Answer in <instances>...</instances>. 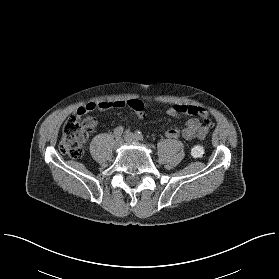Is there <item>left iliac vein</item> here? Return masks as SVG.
<instances>
[{"label": "left iliac vein", "mask_w": 279, "mask_h": 279, "mask_svg": "<svg viewBox=\"0 0 279 279\" xmlns=\"http://www.w3.org/2000/svg\"><path fill=\"white\" fill-rule=\"evenodd\" d=\"M124 140L127 141V142L139 143L138 138L133 133H130V132L125 133Z\"/></svg>", "instance_id": "obj_1"}]
</instances>
